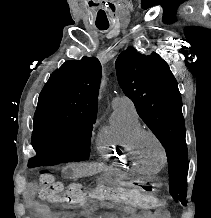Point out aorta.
Masks as SVG:
<instances>
[{"instance_id":"762f6f07","label":"aorta","mask_w":211,"mask_h":218,"mask_svg":"<svg viewBox=\"0 0 211 218\" xmlns=\"http://www.w3.org/2000/svg\"><path fill=\"white\" fill-rule=\"evenodd\" d=\"M101 87H102V88L105 87V81L102 82Z\"/></svg>"}]
</instances>
